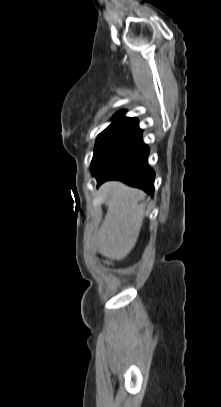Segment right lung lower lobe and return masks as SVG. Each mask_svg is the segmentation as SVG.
I'll return each instance as SVG.
<instances>
[{"label": "right lung lower lobe", "mask_w": 221, "mask_h": 407, "mask_svg": "<svg viewBox=\"0 0 221 407\" xmlns=\"http://www.w3.org/2000/svg\"><path fill=\"white\" fill-rule=\"evenodd\" d=\"M149 151V147L142 141V130L139 129L95 175L97 185L117 179L153 196L155 172L147 162Z\"/></svg>", "instance_id": "1"}]
</instances>
